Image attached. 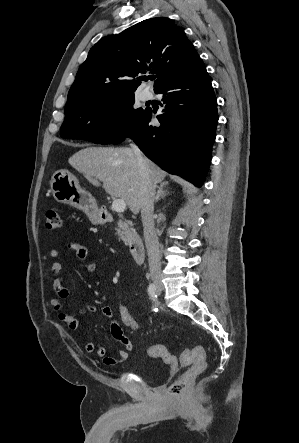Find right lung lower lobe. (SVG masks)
<instances>
[{"mask_svg": "<svg viewBox=\"0 0 299 443\" xmlns=\"http://www.w3.org/2000/svg\"><path fill=\"white\" fill-rule=\"evenodd\" d=\"M155 93L162 95L165 104L157 116L160 125H149L153 111L145 109L110 143L119 144L129 137L162 169L200 187L218 122L217 100L205 66L169 81Z\"/></svg>", "mask_w": 299, "mask_h": 443, "instance_id": "98d812e1", "label": "right lung lower lobe"}]
</instances>
